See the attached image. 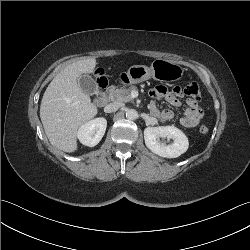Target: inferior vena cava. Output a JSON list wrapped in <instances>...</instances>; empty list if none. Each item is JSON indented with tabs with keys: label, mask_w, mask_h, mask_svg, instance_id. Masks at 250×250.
I'll use <instances>...</instances> for the list:
<instances>
[{
	"label": "inferior vena cava",
	"mask_w": 250,
	"mask_h": 250,
	"mask_svg": "<svg viewBox=\"0 0 250 250\" xmlns=\"http://www.w3.org/2000/svg\"><path fill=\"white\" fill-rule=\"evenodd\" d=\"M123 106L122 103L119 102H113L108 104L107 106H105L104 108V112L106 113H112V112H116L118 109H120Z\"/></svg>",
	"instance_id": "obj_1"
}]
</instances>
